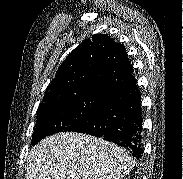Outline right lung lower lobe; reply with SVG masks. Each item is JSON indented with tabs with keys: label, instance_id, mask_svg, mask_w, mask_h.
<instances>
[{
	"label": "right lung lower lobe",
	"instance_id": "98d812e1",
	"mask_svg": "<svg viewBox=\"0 0 183 179\" xmlns=\"http://www.w3.org/2000/svg\"><path fill=\"white\" fill-rule=\"evenodd\" d=\"M141 94L133 76L109 87L95 115L76 132L124 147L140 159L142 147Z\"/></svg>",
	"mask_w": 183,
	"mask_h": 179
}]
</instances>
